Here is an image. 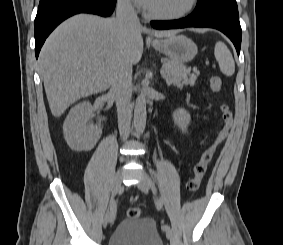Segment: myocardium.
Wrapping results in <instances>:
<instances>
[{
	"label": "myocardium",
	"instance_id": "f54148a6",
	"mask_svg": "<svg viewBox=\"0 0 283 245\" xmlns=\"http://www.w3.org/2000/svg\"><path fill=\"white\" fill-rule=\"evenodd\" d=\"M197 4L198 0H189L187 6L184 9L174 14L153 13L147 9L144 10V13L148 18L155 20H178L189 15L196 8Z\"/></svg>",
	"mask_w": 283,
	"mask_h": 245
}]
</instances>
